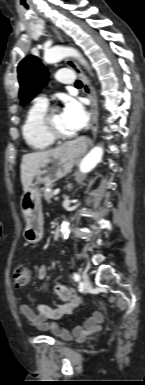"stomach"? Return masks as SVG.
I'll use <instances>...</instances> for the list:
<instances>
[{"label":"stomach","instance_id":"1","mask_svg":"<svg viewBox=\"0 0 145 385\" xmlns=\"http://www.w3.org/2000/svg\"><path fill=\"white\" fill-rule=\"evenodd\" d=\"M75 162V154L67 145L54 150L40 164L35 182L21 196L20 207L26 217L24 237L29 243H37L43 237V216L40 184L52 185L68 174Z\"/></svg>","mask_w":145,"mask_h":385}]
</instances>
